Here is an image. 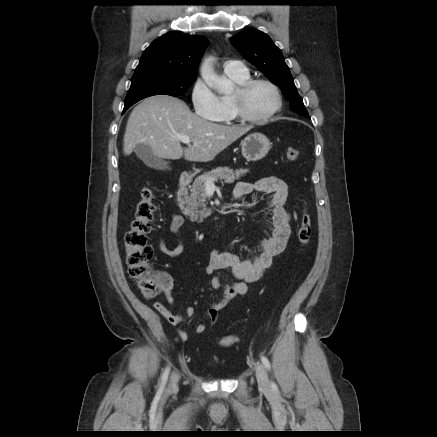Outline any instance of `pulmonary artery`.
I'll list each match as a JSON object with an SVG mask.
<instances>
[{"label": "pulmonary artery", "mask_w": 437, "mask_h": 437, "mask_svg": "<svg viewBox=\"0 0 437 437\" xmlns=\"http://www.w3.org/2000/svg\"><path fill=\"white\" fill-rule=\"evenodd\" d=\"M223 69L227 75H239L247 72L244 64L235 60L226 61L223 65Z\"/></svg>", "instance_id": "1"}]
</instances>
